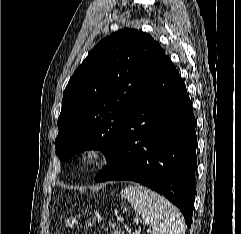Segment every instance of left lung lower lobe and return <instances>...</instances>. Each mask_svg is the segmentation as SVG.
Segmentation results:
<instances>
[{"instance_id": "1", "label": "left lung lower lobe", "mask_w": 241, "mask_h": 234, "mask_svg": "<svg viewBox=\"0 0 241 234\" xmlns=\"http://www.w3.org/2000/svg\"><path fill=\"white\" fill-rule=\"evenodd\" d=\"M195 126L185 84L165 55L130 106L109 163L94 181L139 182L175 204L190 227L196 193Z\"/></svg>"}]
</instances>
